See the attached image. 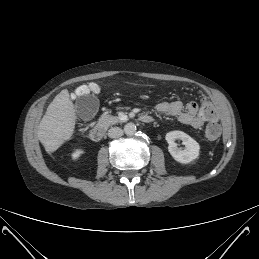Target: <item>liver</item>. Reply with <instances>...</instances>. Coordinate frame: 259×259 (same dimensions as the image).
<instances>
[{"instance_id": "1", "label": "liver", "mask_w": 259, "mask_h": 259, "mask_svg": "<svg viewBox=\"0 0 259 259\" xmlns=\"http://www.w3.org/2000/svg\"><path fill=\"white\" fill-rule=\"evenodd\" d=\"M76 119V110L69 92L62 90L49 104L38 128V139L47 153L56 151L72 137Z\"/></svg>"}]
</instances>
